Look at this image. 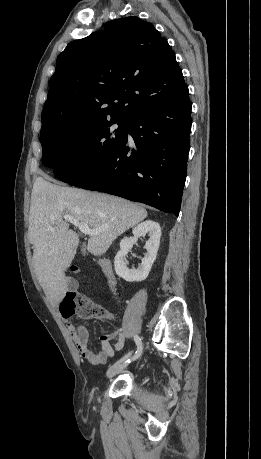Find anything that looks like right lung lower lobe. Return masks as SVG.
<instances>
[{"instance_id":"1","label":"right lung lower lobe","mask_w":261,"mask_h":459,"mask_svg":"<svg viewBox=\"0 0 261 459\" xmlns=\"http://www.w3.org/2000/svg\"><path fill=\"white\" fill-rule=\"evenodd\" d=\"M191 103L185 85L169 101L128 121V137L106 161L69 183L179 215L187 172Z\"/></svg>"}]
</instances>
